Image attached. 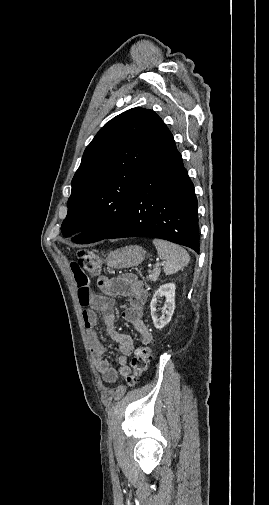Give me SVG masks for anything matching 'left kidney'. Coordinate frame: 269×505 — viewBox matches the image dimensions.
I'll return each mask as SVG.
<instances>
[{"label":"left kidney","instance_id":"1","mask_svg":"<svg viewBox=\"0 0 269 505\" xmlns=\"http://www.w3.org/2000/svg\"><path fill=\"white\" fill-rule=\"evenodd\" d=\"M175 289L176 286L173 283H168L161 285L153 295L150 303L151 317L155 328L162 329L171 320L172 315L175 310ZM165 297L164 311L163 315L158 317L157 315V302L158 299Z\"/></svg>","mask_w":269,"mask_h":505}]
</instances>
